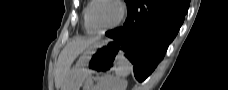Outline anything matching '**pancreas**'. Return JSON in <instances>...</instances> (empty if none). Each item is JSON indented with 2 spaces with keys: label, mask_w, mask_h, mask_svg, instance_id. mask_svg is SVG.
<instances>
[{
  "label": "pancreas",
  "mask_w": 228,
  "mask_h": 90,
  "mask_svg": "<svg viewBox=\"0 0 228 90\" xmlns=\"http://www.w3.org/2000/svg\"><path fill=\"white\" fill-rule=\"evenodd\" d=\"M95 78L92 76H89L84 83L83 89L84 90H92L93 89V83Z\"/></svg>",
  "instance_id": "cf45deb5"
}]
</instances>
